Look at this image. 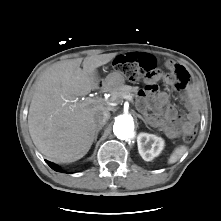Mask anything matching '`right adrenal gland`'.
<instances>
[{
  "mask_svg": "<svg viewBox=\"0 0 221 221\" xmlns=\"http://www.w3.org/2000/svg\"><path fill=\"white\" fill-rule=\"evenodd\" d=\"M101 129H102V127H98V128L96 129V134H95L94 142L97 141V137H98V134H99V132H100Z\"/></svg>",
  "mask_w": 221,
  "mask_h": 221,
  "instance_id": "obj_1",
  "label": "right adrenal gland"
}]
</instances>
